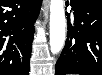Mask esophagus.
Listing matches in <instances>:
<instances>
[{
  "instance_id": "esophagus-1",
  "label": "esophagus",
  "mask_w": 102,
  "mask_h": 75,
  "mask_svg": "<svg viewBox=\"0 0 102 75\" xmlns=\"http://www.w3.org/2000/svg\"><path fill=\"white\" fill-rule=\"evenodd\" d=\"M48 3H49L48 0H44V9H45L46 11H48ZM44 15H46V13H45Z\"/></svg>"
}]
</instances>
